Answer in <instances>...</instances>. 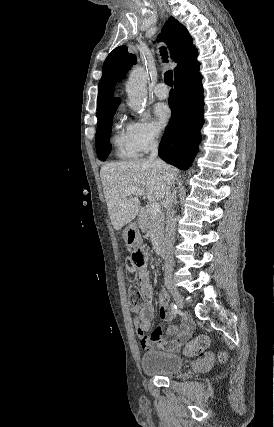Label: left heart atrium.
<instances>
[{"mask_svg":"<svg viewBox=\"0 0 274 427\" xmlns=\"http://www.w3.org/2000/svg\"><path fill=\"white\" fill-rule=\"evenodd\" d=\"M154 124L157 129L164 128L172 117V111L166 103H158L154 106Z\"/></svg>","mask_w":274,"mask_h":427,"instance_id":"left-heart-atrium-1","label":"left heart atrium"}]
</instances>
